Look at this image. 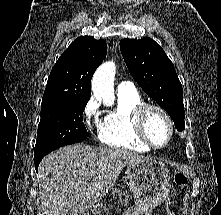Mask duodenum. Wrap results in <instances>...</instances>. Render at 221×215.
<instances>
[{"mask_svg":"<svg viewBox=\"0 0 221 215\" xmlns=\"http://www.w3.org/2000/svg\"><path fill=\"white\" fill-rule=\"evenodd\" d=\"M83 215H94L93 212L91 210L85 212Z\"/></svg>","mask_w":221,"mask_h":215,"instance_id":"duodenum-1","label":"duodenum"}]
</instances>
